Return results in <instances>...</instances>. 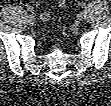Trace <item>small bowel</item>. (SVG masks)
<instances>
[{
    "mask_svg": "<svg viewBox=\"0 0 111 106\" xmlns=\"http://www.w3.org/2000/svg\"><path fill=\"white\" fill-rule=\"evenodd\" d=\"M57 5L59 8H64L66 6V1L65 0H59L57 2ZM40 16H41L42 20H48L51 17V12L43 11Z\"/></svg>",
    "mask_w": 111,
    "mask_h": 106,
    "instance_id": "1",
    "label": "small bowel"
}]
</instances>
